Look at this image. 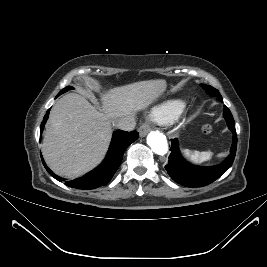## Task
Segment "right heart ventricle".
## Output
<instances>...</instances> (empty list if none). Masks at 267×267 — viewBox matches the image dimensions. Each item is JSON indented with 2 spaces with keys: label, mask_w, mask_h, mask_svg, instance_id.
I'll list each match as a JSON object with an SVG mask.
<instances>
[{
  "label": "right heart ventricle",
  "mask_w": 267,
  "mask_h": 267,
  "mask_svg": "<svg viewBox=\"0 0 267 267\" xmlns=\"http://www.w3.org/2000/svg\"><path fill=\"white\" fill-rule=\"evenodd\" d=\"M185 107L181 100H170L154 107L150 116L153 120L161 124L173 122Z\"/></svg>",
  "instance_id": "e07e8e85"
}]
</instances>
